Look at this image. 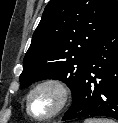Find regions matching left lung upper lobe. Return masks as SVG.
<instances>
[{
  "label": "left lung upper lobe",
  "mask_w": 118,
  "mask_h": 123,
  "mask_svg": "<svg viewBox=\"0 0 118 123\" xmlns=\"http://www.w3.org/2000/svg\"><path fill=\"white\" fill-rule=\"evenodd\" d=\"M117 19V0H50L24 57L21 87L59 79L74 97L93 47Z\"/></svg>",
  "instance_id": "left-lung-upper-lobe-1"
}]
</instances>
